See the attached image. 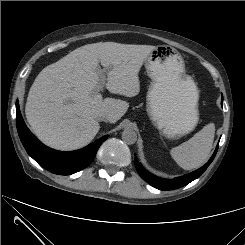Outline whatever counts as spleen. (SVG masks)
<instances>
[{
    "mask_svg": "<svg viewBox=\"0 0 245 245\" xmlns=\"http://www.w3.org/2000/svg\"><path fill=\"white\" fill-rule=\"evenodd\" d=\"M215 125L209 123L191 139L172 148L170 154L175 162L184 170H192L202 166L212 150Z\"/></svg>",
    "mask_w": 245,
    "mask_h": 245,
    "instance_id": "spleen-1",
    "label": "spleen"
}]
</instances>
